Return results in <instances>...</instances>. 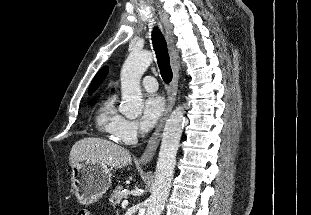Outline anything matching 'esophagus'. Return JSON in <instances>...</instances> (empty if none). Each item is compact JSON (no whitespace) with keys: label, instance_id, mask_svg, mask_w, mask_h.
<instances>
[{"label":"esophagus","instance_id":"esophagus-1","mask_svg":"<svg viewBox=\"0 0 311 215\" xmlns=\"http://www.w3.org/2000/svg\"><path fill=\"white\" fill-rule=\"evenodd\" d=\"M159 15H160V19L165 30V34H166V39H167L168 49H169L170 59H171L173 78L170 84L168 102H167L165 112L163 116L161 117L158 125L156 126L152 136L148 140L145 151L139 158V163L142 165H146L147 163H149L153 159L156 153V150L160 143L161 133H162L165 121L175 104L177 90H178V79H179L178 51L175 46L173 26L168 19V15L163 10H159Z\"/></svg>","mask_w":311,"mask_h":215}]
</instances>
